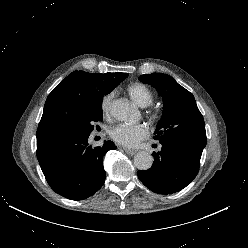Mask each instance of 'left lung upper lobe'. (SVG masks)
<instances>
[{
  "label": "left lung upper lobe",
  "mask_w": 248,
  "mask_h": 248,
  "mask_svg": "<svg viewBox=\"0 0 248 248\" xmlns=\"http://www.w3.org/2000/svg\"><path fill=\"white\" fill-rule=\"evenodd\" d=\"M139 80L153 86L163 98V115L154 139L181 145L201 157L207 143L205 123L192 93L163 73L141 75Z\"/></svg>",
  "instance_id": "5c2ea615"
}]
</instances>
